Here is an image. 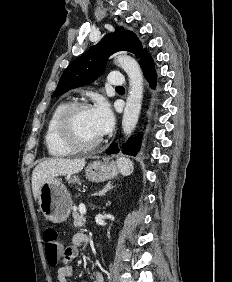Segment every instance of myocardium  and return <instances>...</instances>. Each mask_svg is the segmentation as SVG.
Returning a JSON list of instances; mask_svg holds the SVG:
<instances>
[{
	"label": "myocardium",
	"mask_w": 232,
	"mask_h": 282,
	"mask_svg": "<svg viewBox=\"0 0 232 282\" xmlns=\"http://www.w3.org/2000/svg\"><path fill=\"white\" fill-rule=\"evenodd\" d=\"M90 109L87 102L79 101L69 103L61 112L57 121V135L60 141L74 151H87L96 148L102 142V137L89 143L80 141L73 129V119L80 110Z\"/></svg>",
	"instance_id": "f54148a6"
}]
</instances>
